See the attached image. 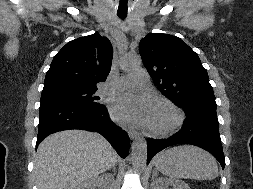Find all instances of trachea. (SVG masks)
<instances>
[{"mask_svg": "<svg viewBox=\"0 0 253 189\" xmlns=\"http://www.w3.org/2000/svg\"><path fill=\"white\" fill-rule=\"evenodd\" d=\"M117 15L122 20H124L127 17V14H117Z\"/></svg>", "mask_w": 253, "mask_h": 189, "instance_id": "3493384b", "label": "trachea"}]
</instances>
